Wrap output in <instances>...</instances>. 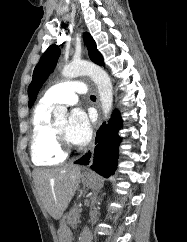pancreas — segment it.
<instances>
[{
    "label": "pancreas",
    "mask_w": 187,
    "mask_h": 242,
    "mask_svg": "<svg viewBox=\"0 0 187 242\" xmlns=\"http://www.w3.org/2000/svg\"><path fill=\"white\" fill-rule=\"evenodd\" d=\"M79 217H80L79 209L73 208L69 214L67 223L71 226H75L78 222Z\"/></svg>",
    "instance_id": "cf45deb5"
}]
</instances>
